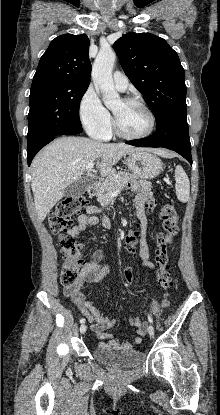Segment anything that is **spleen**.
I'll return each mask as SVG.
<instances>
[{
  "mask_svg": "<svg viewBox=\"0 0 220 415\" xmlns=\"http://www.w3.org/2000/svg\"><path fill=\"white\" fill-rule=\"evenodd\" d=\"M175 188L178 200L185 203L189 200L190 182L184 169L178 165L175 169Z\"/></svg>",
  "mask_w": 220,
  "mask_h": 415,
  "instance_id": "3e777b00",
  "label": "spleen"
}]
</instances>
